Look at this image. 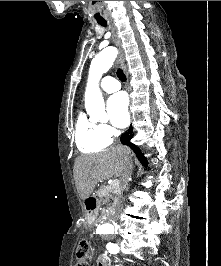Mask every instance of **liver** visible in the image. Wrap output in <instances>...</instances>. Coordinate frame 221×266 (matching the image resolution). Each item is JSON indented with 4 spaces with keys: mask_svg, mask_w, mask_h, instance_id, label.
Returning <instances> with one entry per match:
<instances>
[{
    "mask_svg": "<svg viewBox=\"0 0 221 266\" xmlns=\"http://www.w3.org/2000/svg\"><path fill=\"white\" fill-rule=\"evenodd\" d=\"M131 150L118 146L96 154L80 155L74 163L75 185L82 200L87 199L96 184L111 177H121L125 168L124 156L130 157Z\"/></svg>",
    "mask_w": 221,
    "mask_h": 266,
    "instance_id": "6515ba94",
    "label": "liver"
}]
</instances>
